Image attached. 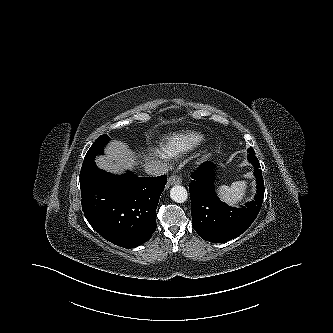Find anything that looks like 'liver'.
Segmentation results:
<instances>
[{
    "instance_id": "liver-1",
    "label": "liver",
    "mask_w": 333,
    "mask_h": 333,
    "mask_svg": "<svg viewBox=\"0 0 333 333\" xmlns=\"http://www.w3.org/2000/svg\"><path fill=\"white\" fill-rule=\"evenodd\" d=\"M95 162L99 168L111 173H122L124 169L132 170L137 164L128 145L119 140L110 142L105 149V155L98 156Z\"/></svg>"
}]
</instances>
